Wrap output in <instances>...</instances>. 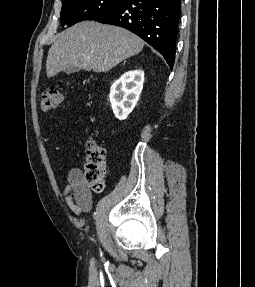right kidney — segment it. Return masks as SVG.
<instances>
[{
	"instance_id": "1",
	"label": "right kidney",
	"mask_w": 255,
	"mask_h": 287,
	"mask_svg": "<svg viewBox=\"0 0 255 287\" xmlns=\"http://www.w3.org/2000/svg\"><path fill=\"white\" fill-rule=\"evenodd\" d=\"M144 72L131 70L125 72L111 86L109 98L112 110L118 120H126L135 108L143 88Z\"/></svg>"
}]
</instances>
